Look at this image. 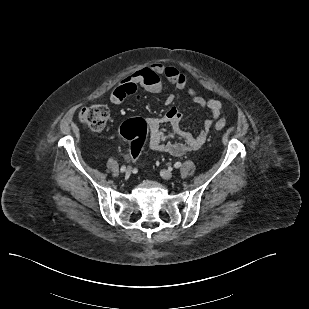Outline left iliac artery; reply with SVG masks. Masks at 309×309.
<instances>
[{
	"mask_svg": "<svg viewBox=\"0 0 309 309\" xmlns=\"http://www.w3.org/2000/svg\"><path fill=\"white\" fill-rule=\"evenodd\" d=\"M174 167H175V168L181 167V162H176V163L174 164Z\"/></svg>",
	"mask_w": 309,
	"mask_h": 309,
	"instance_id": "left-iliac-artery-1",
	"label": "left iliac artery"
}]
</instances>
